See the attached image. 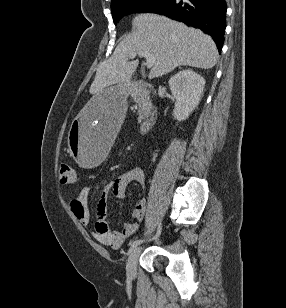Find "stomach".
Instances as JSON below:
<instances>
[{"instance_id":"obj_1","label":"stomach","mask_w":286,"mask_h":308,"mask_svg":"<svg viewBox=\"0 0 286 308\" xmlns=\"http://www.w3.org/2000/svg\"><path fill=\"white\" fill-rule=\"evenodd\" d=\"M129 90V85H104L93 97H87L85 109H79L69 122L70 154L76 165L97 167L107 161L129 105Z\"/></svg>"}]
</instances>
